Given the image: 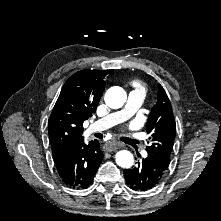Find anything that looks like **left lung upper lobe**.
I'll return each mask as SVG.
<instances>
[{
    "instance_id": "left-lung-upper-lobe-1",
    "label": "left lung upper lobe",
    "mask_w": 221,
    "mask_h": 221,
    "mask_svg": "<svg viewBox=\"0 0 221 221\" xmlns=\"http://www.w3.org/2000/svg\"><path fill=\"white\" fill-rule=\"evenodd\" d=\"M151 145L146 147L148 154L170 162L174 144L176 123L170 100L162 86L158 87V100L146 122Z\"/></svg>"
}]
</instances>
